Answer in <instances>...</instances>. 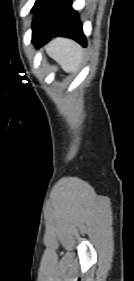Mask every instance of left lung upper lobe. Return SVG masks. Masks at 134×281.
<instances>
[{
    "label": "left lung upper lobe",
    "instance_id": "obj_1",
    "mask_svg": "<svg viewBox=\"0 0 134 281\" xmlns=\"http://www.w3.org/2000/svg\"><path fill=\"white\" fill-rule=\"evenodd\" d=\"M40 2V0H37L34 7H33V10H35L36 6L38 5V3Z\"/></svg>",
    "mask_w": 134,
    "mask_h": 281
}]
</instances>
